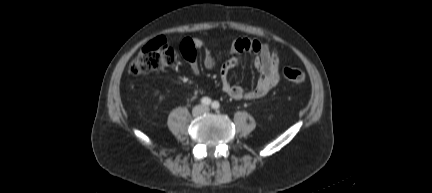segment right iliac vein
Segmentation results:
<instances>
[{
    "label": "right iliac vein",
    "instance_id": "1",
    "mask_svg": "<svg viewBox=\"0 0 432 193\" xmlns=\"http://www.w3.org/2000/svg\"><path fill=\"white\" fill-rule=\"evenodd\" d=\"M202 113H203V108L200 106L195 107L192 112L193 116H199Z\"/></svg>",
    "mask_w": 432,
    "mask_h": 193
}]
</instances>
